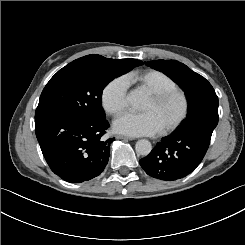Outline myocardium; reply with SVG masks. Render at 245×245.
Masks as SVG:
<instances>
[{"instance_id":"1","label":"myocardium","mask_w":245,"mask_h":245,"mask_svg":"<svg viewBox=\"0 0 245 245\" xmlns=\"http://www.w3.org/2000/svg\"><path fill=\"white\" fill-rule=\"evenodd\" d=\"M147 95L151 97L156 105H162L172 99H178L180 102L179 112L162 126V132L168 133L174 130L186 117L189 108V101L186 93L179 88L171 89H149Z\"/></svg>"}]
</instances>
